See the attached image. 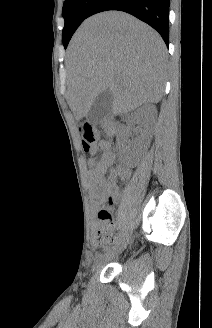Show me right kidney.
Wrapping results in <instances>:
<instances>
[{
  "label": "right kidney",
  "instance_id": "ca27d5eb",
  "mask_svg": "<svg viewBox=\"0 0 212 328\" xmlns=\"http://www.w3.org/2000/svg\"><path fill=\"white\" fill-rule=\"evenodd\" d=\"M157 116V109L154 105L145 104L127 117V122L131 125L137 124V131L140 133L139 142L144 143L149 140L153 133V125Z\"/></svg>",
  "mask_w": 212,
  "mask_h": 328
}]
</instances>
